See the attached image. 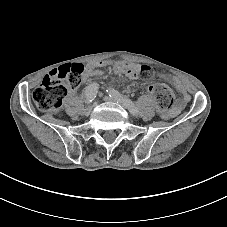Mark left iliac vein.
Wrapping results in <instances>:
<instances>
[{"label": "left iliac vein", "mask_w": 227, "mask_h": 227, "mask_svg": "<svg viewBox=\"0 0 227 227\" xmlns=\"http://www.w3.org/2000/svg\"><path fill=\"white\" fill-rule=\"evenodd\" d=\"M103 100H104L105 102H117V103H119L121 106L125 107V105H124L123 103H121L120 101H118V100H116L115 98L110 97V96L104 97Z\"/></svg>", "instance_id": "obj_1"}]
</instances>
